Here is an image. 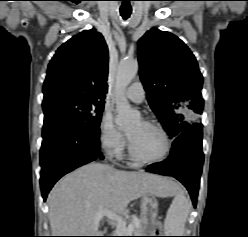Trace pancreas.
<instances>
[{"label":"pancreas","mask_w":248,"mask_h":237,"mask_svg":"<svg viewBox=\"0 0 248 237\" xmlns=\"http://www.w3.org/2000/svg\"><path fill=\"white\" fill-rule=\"evenodd\" d=\"M130 224L133 225V230H132L131 235H134V236L143 235V233L145 232V225H144V221L142 219H137L136 221L131 220ZM115 233H116V235H127V234H125L127 232L125 230H123L122 227H117Z\"/></svg>","instance_id":"obj_1"}]
</instances>
